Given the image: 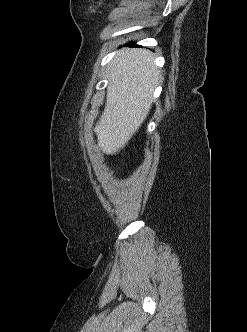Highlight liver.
Masks as SVG:
<instances>
[{"instance_id":"obj_1","label":"liver","mask_w":247,"mask_h":332,"mask_svg":"<svg viewBox=\"0 0 247 332\" xmlns=\"http://www.w3.org/2000/svg\"><path fill=\"white\" fill-rule=\"evenodd\" d=\"M160 78L148 50L122 51L111 61L105 109L94 128L104 153H118L140 128Z\"/></svg>"}]
</instances>
